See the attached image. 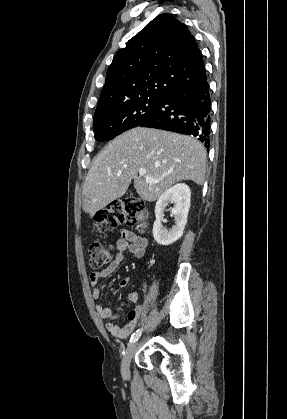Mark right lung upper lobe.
Listing matches in <instances>:
<instances>
[{
  "label": "right lung upper lobe",
  "instance_id": "1",
  "mask_svg": "<svg viewBox=\"0 0 287 419\" xmlns=\"http://www.w3.org/2000/svg\"><path fill=\"white\" fill-rule=\"evenodd\" d=\"M205 77L201 51L187 26L161 14L115 54L95 113L138 98H164Z\"/></svg>",
  "mask_w": 287,
  "mask_h": 419
}]
</instances>
